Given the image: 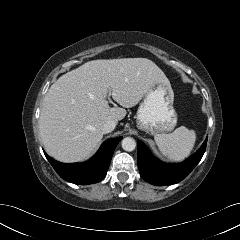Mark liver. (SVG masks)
I'll list each match as a JSON object with an SVG mask.
<instances>
[{"instance_id": "obj_1", "label": "liver", "mask_w": 240, "mask_h": 240, "mask_svg": "<svg viewBox=\"0 0 240 240\" xmlns=\"http://www.w3.org/2000/svg\"><path fill=\"white\" fill-rule=\"evenodd\" d=\"M155 83L170 85L147 58L93 60L62 75L49 88L41 109L39 132L46 152L61 162L90 156L103 138L102 126L126 116ZM123 108H111L106 94Z\"/></svg>"}]
</instances>
